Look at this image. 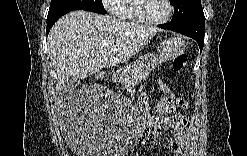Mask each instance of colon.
Wrapping results in <instances>:
<instances>
[{"instance_id":"1","label":"colon","mask_w":247,"mask_h":156,"mask_svg":"<svg viewBox=\"0 0 247 156\" xmlns=\"http://www.w3.org/2000/svg\"><path fill=\"white\" fill-rule=\"evenodd\" d=\"M187 65V55L182 53L177 55L172 62V69L176 72H181L185 69ZM171 106H174V101L172 98H159V101H155L153 107L150 108L151 112H154L155 116L153 117L154 121H161L162 118H166V113L163 112H170ZM155 130L149 129L147 134L149 136L154 135Z\"/></svg>"}]
</instances>
